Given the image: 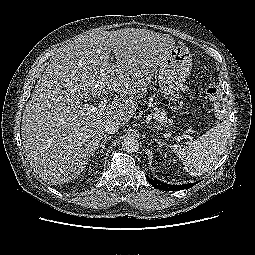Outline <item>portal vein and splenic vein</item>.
Returning <instances> with one entry per match:
<instances>
[{
  "mask_svg": "<svg viewBox=\"0 0 255 255\" xmlns=\"http://www.w3.org/2000/svg\"><path fill=\"white\" fill-rule=\"evenodd\" d=\"M106 105H107V100L104 99V100H102V101L99 102L98 107H99V108H105ZM85 107H86V109H87L88 111H93V112H94V111L97 110V108H96L95 106L89 105L88 103L85 104Z\"/></svg>",
  "mask_w": 255,
  "mask_h": 255,
  "instance_id": "obj_1",
  "label": "portal vein and splenic vein"
}]
</instances>
